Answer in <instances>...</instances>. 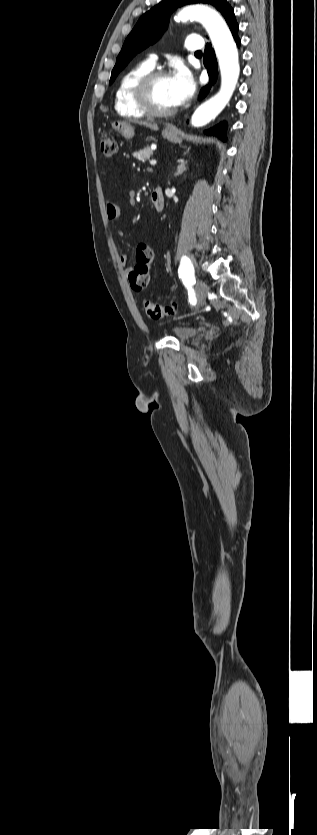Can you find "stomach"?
<instances>
[{
    "label": "stomach",
    "instance_id": "1",
    "mask_svg": "<svg viewBox=\"0 0 317 835\" xmlns=\"http://www.w3.org/2000/svg\"><path fill=\"white\" fill-rule=\"evenodd\" d=\"M112 128L115 131L119 132L125 138H132L134 136L133 126L126 121H114L112 123ZM162 136L163 138L169 140L172 143H181L182 137L184 135L182 132L171 128V126H166L165 129L162 131Z\"/></svg>",
    "mask_w": 317,
    "mask_h": 835
}]
</instances>
